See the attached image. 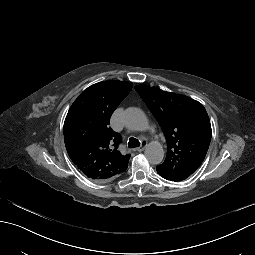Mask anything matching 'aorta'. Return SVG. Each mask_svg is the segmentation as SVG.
Instances as JSON below:
<instances>
[{"label":"aorta","mask_w":255,"mask_h":255,"mask_svg":"<svg viewBox=\"0 0 255 255\" xmlns=\"http://www.w3.org/2000/svg\"><path fill=\"white\" fill-rule=\"evenodd\" d=\"M124 122L128 128L135 131H144L149 126L148 119L144 112L136 107H131L125 110ZM145 156L150 164H160L164 158L162 145L159 143H150L146 146Z\"/></svg>","instance_id":"obj_1"}]
</instances>
